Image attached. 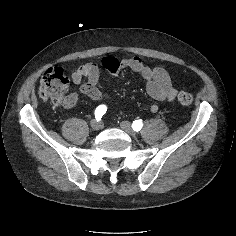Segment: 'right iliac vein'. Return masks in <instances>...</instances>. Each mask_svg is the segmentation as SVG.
<instances>
[{"instance_id":"63e3f726","label":"right iliac vein","mask_w":236,"mask_h":236,"mask_svg":"<svg viewBox=\"0 0 236 236\" xmlns=\"http://www.w3.org/2000/svg\"><path fill=\"white\" fill-rule=\"evenodd\" d=\"M90 125H91V128L95 131H98L101 128V124L97 120H92Z\"/></svg>"}]
</instances>
